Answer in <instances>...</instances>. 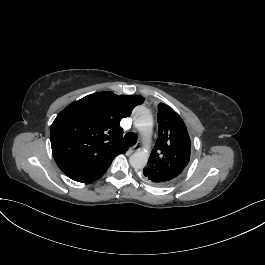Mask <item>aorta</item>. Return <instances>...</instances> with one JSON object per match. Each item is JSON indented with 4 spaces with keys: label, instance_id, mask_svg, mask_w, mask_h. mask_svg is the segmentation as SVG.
<instances>
[{
    "label": "aorta",
    "instance_id": "762f6f07",
    "mask_svg": "<svg viewBox=\"0 0 265 265\" xmlns=\"http://www.w3.org/2000/svg\"><path fill=\"white\" fill-rule=\"evenodd\" d=\"M133 118L135 126L147 135L153 124L151 112L144 106H138L133 111ZM148 159L149 152L144 149L133 153L129 158V162L134 169L139 170L147 165Z\"/></svg>",
    "mask_w": 265,
    "mask_h": 265
}]
</instances>
